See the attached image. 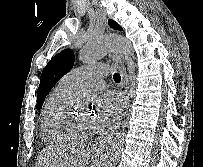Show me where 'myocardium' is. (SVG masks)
I'll list each match as a JSON object with an SVG mask.
<instances>
[{"label":"myocardium","instance_id":"myocardium-1","mask_svg":"<svg viewBox=\"0 0 203 167\" xmlns=\"http://www.w3.org/2000/svg\"><path fill=\"white\" fill-rule=\"evenodd\" d=\"M65 125L68 131L78 139L87 138L95 132L94 128L85 126L73 111L68 114Z\"/></svg>","mask_w":203,"mask_h":167}]
</instances>
